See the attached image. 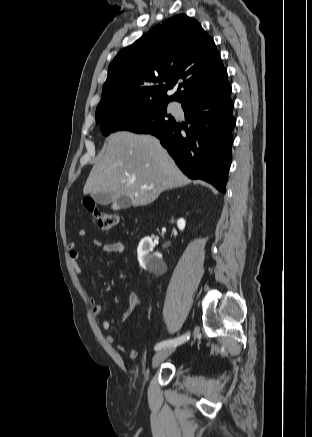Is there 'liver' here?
Returning a JSON list of instances; mask_svg holds the SVG:
<instances>
[{"instance_id": "obj_1", "label": "liver", "mask_w": 312, "mask_h": 437, "mask_svg": "<svg viewBox=\"0 0 312 437\" xmlns=\"http://www.w3.org/2000/svg\"><path fill=\"white\" fill-rule=\"evenodd\" d=\"M89 174L83 193H110L113 202L128 198L133 206L152 203L165 190L189 184L160 141L152 135L116 132ZM134 179V183L130 180ZM153 189H144V187Z\"/></svg>"}]
</instances>
